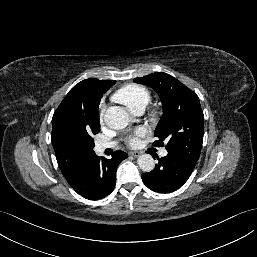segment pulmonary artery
I'll return each instance as SVG.
<instances>
[{
    "instance_id": "e3ab8cb5",
    "label": "pulmonary artery",
    "mask_w": 257,
    "mask_h": 257,
    "mask_svg": "<svg viewBox=\"0 0 257 257\" xmlns=\"http://www.w3.org/2000/svg\"><path fill=\"white\" fill-rule=\"evenodd\" d=\"M144 109H137L135 111H133V113L135 115H141L143 113ZM114 145L113 142H98L95 146V149L97 152H102L104 151L105 149L107 148H110ZM160 155L161 156H166L167 155V151L165 149H163L161 152H160Z\"/></svg>"
}]
</instances>
